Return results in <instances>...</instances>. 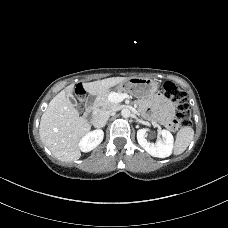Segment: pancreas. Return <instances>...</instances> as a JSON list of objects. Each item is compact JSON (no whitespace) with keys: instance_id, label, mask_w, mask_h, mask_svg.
<instances>
[{"instance_id":"1","label":"pancreas","mask_w":228,"mask_h":228,"mask_svg":"<svg viewBox=\"0 0 228 228\" xmlns=\"http://www.w3.org/2000/svg\"><path fill=\"white\" fill-rule=\"evenodd\" d=\"M115 92L105 93L99 96L95 101V107L102 112H112L118 108V104L111 101V94ZM118 94H122L121 91Z\"/></svg>"}]
</instances>
